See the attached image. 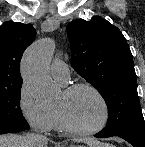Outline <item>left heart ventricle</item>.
Listing matches in <instances>:
<instances>
[{
    "label": "left heart ventricle",
    "mask_w": 145,
    "mask_h": 147,
    "mask_svg": "<svg viewBox=\"0 0 145 147\" xmlns=\"http://www.w3.org/2000/svg\"><path fill=\"white\" fill-rule=\"evenodd\" d=\"M54 108L59 109L67 122L78 129L97 126L103 118V108L98 98L88 89H79L57 99Z\"/></svg>",
    "instance_id": "b2bd125f"
}]
</instances>
